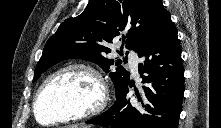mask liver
<instances>
[{"label": "liver", "instance_id": "liver-1", "mask_svg": "<svg viewBox=\"0 0 221 128\" xmlns=\"http://www.w3.org/2000/svg\"><path fill=\"white\" fill-rule=\"evenodd\" d=\"M69 128H90V126H86V125H83V124H76V125H72V126H69Z\"/></svg>", "mask_w": 221, "mask_h": 128}]
</instances>
